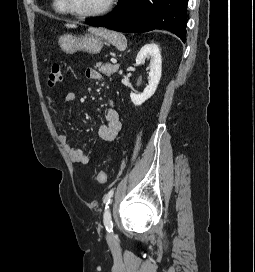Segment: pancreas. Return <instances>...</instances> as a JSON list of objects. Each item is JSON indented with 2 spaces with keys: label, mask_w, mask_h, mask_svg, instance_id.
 Returning a JSON list of instances; mask_svg holds the SVG:
<instances>
[{
  "label": "pancreas",
  "mask_w": 255,
  "mask_h": 272,
  "mask_svg": "<svg viewBox=\"0 0 255 272\" xmlns=\"http://www.w3.org/2000/svg\"><path fill=\"white\" fill-rule=\"evenodd\" d=\"M95 67L98 68L99 72L110 77L111 75H113L114 73L118 71L119 64L112 65L110 63H106V64L97 63Z\"/></svg>",
  "instance_id": "1"
}]
</instances>
